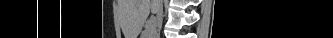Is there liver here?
Listing matches in <instances>:
<instances>
[{
  "mask_svg": "<svg viewBox=\"0 0 333 38\" xmlns=\"http://www.w3.org/2000/svg\"><path fill=\"white\" fill-rule=\"evenodd\" d=\"M120 8L122 12L134 10V26L138 29L135 36H137L150 11L158 13V0H135L134 2L132 0H121Z\"/></svg>",
  "mask_w": 333,
  "mask_h": 38,
  "instance_id": "obj_1",
  "label": "liver"
}]
</instances>
